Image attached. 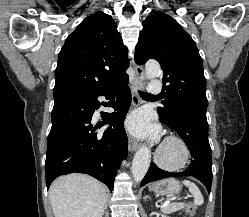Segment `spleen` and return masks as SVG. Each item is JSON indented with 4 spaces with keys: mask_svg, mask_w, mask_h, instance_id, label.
Returning a JSON list of instances; mask_svg holds the SVG:
<instances>
[{
    "mask_svg": "<svg viewBox=\"0 0 249 217\" xmlns=\"http://www.w3.org/2000/svg\"><path fill=\"white\" fill-rule=\"evenodd\" d=\"M183 184L189 188L190 193L194 196V204L197 206L202 205L204 199L197 185L189 180H184Z\"/></svg>",
    "mask_w": 249,
    "mask_h": 217,
    "instance_id": "3e777b00",
    "label": "spleen"
}]
</instances>
